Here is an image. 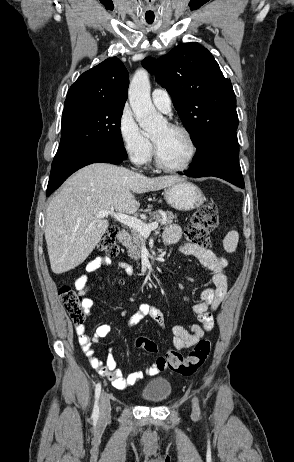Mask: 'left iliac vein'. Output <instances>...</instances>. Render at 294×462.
<instances>
[{
    "instance_id": "left-iliac-vein-1",
    "label": "left iliac vein",
    "mask_w": 294,
    "mask_h": 462,
    "mask_svg": "<svg viewBox=\"0 0 294 462\" xmlns=\"http://www.w3.org/2000/svg\"><path fill=\"white\" fill-rule=\"evenodd\" d=\"M193 411L194 413H199V407H198V402H197V398H194L193 399Z\"/></svg>"
}]
</instances>
